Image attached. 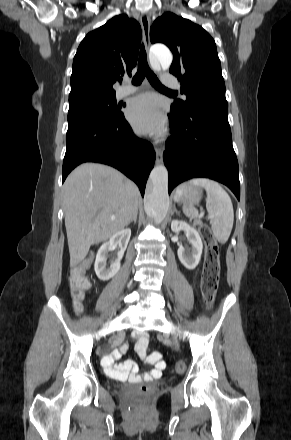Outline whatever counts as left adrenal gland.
<instances>
[{"label": "left adrenal gland", "instance_id": "a2214340", "mask_svg": "<svg viewBox=\"0 0 291 440\" xmlns=\"http://www.w3.org/2000/svg\"><path fill=\"white\" fill-rule=\"evenodd\" d=\"M173 212H176V213H178V211L176 210V208L174 207V209H173ZM179 214V213H178Z\"/></svg>", "mask_w": 291, "mask_h": 440}]
</instances>
